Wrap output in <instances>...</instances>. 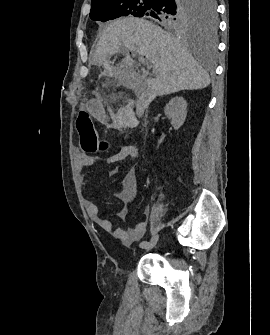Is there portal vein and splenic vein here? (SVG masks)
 <instances>
[{"instance_id": "portal-vein-and-splenic-vein-1", "label": "portal vein and splenic vein", "mask_w": 270, "mask_h": 335, "mask_svg": "<svg viewBox=\"0 0 270 335\" xmlns=\"http://www.w3.org/2000/svg\"><path fill=\"white\" fill-rule=\"evenodd\" d=\"M128 52H129V50H128ZM121 54H122V52H121ZM137 56H139L138 61L143 62L144 65L146 66V69H151L152 62L147 57L143 58V55H140V53H137Z\"/></svg>"}]
</instances>
